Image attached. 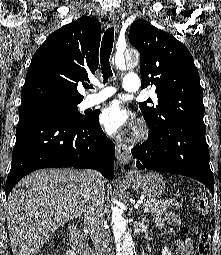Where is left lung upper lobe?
I'll return each instance as SVG.
<instances>
[{"label": "left lung upper lobe", "mask_w": 221, "mask_h": 255, "mask_svg": "<svg viewBox=\"0 0 221 255\" xmlns=\"http://www.w3.org/2000/svg\"><path fill=\"white\" fill-rule=\"evenodd\" d=\"M129 41L141 56L142 86L156 87L157 99L139 104L150 130L167 129L176 123L205 129L203 90L189 50L143 19L131 25Z\"/></svg>", "instance_id": "left-lung-upper-lobe-1"}]
</instances>
